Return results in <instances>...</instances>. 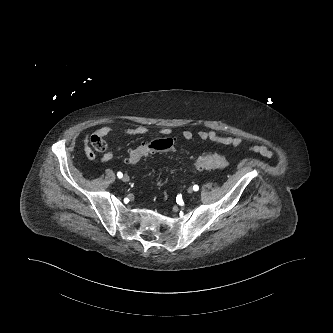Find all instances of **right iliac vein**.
I'll list each match as a JSON object with an SVG mask.
<instances>
[{
    "instance_id": "obj_1",
    "label": "right iliac vein",
    "mask_w": 333,
    "mask_h": 333,
    "mask_svg": "<svg viewBox=\"0 0 333 333\" xmlns=\"http://www.w3.org/2000/svg\"><path fill=\"white\" fill-rule=\"evenodd\" d=\"M129 176L128 175H124L123 177H122V180L124 181V182H128L129 181Z\"/></svg>"
}]
</instances>
